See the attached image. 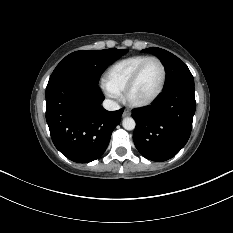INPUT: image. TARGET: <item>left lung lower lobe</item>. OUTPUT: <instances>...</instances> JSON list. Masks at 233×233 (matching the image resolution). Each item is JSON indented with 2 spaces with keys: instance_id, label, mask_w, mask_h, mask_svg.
Here are the masks:
<instances>
[{
  "instance_id": "1",
  "label": "left lung lower lobe",
  "mask_w": 233,
  "mask_h": 233,
  "mask_svg": "<svg viewBox=\"0 0 233 233\" xmlns=\"http://www.w3.org/2000/svg\"><path fill=\"white\" fill-rule=\"evenodd\" d=\"M195 109L194 85L164 89L152 105L134 109L133 141L138 151L152 161L174 157L189 139Z\"/></svg>"
}]
</instances>
